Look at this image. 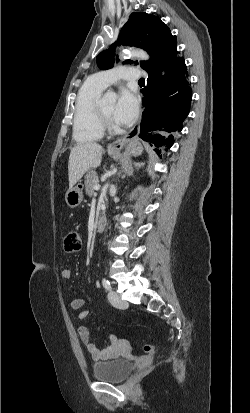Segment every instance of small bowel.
<instances>
[{
    "instance_id": "obj_1",
    "label": "small bowel",
    "mask_w": 250,
    "mask_h": 413,
    "mask_svg": "<svg viewBox=\"0 0 250 413\" xmlns=\"http://www.w3.org/2000/svg\"><path fill=\"white\" fill-rule=\"evenodd\" d=\"M62 277L66 280L71 279L73 277V270L70 268L64 269L62 271ZM84 305L85 300L82 298H75L70 302V307L74 310H80L84 307ZM87 316L88 312L83 310L78 313L77 317L79 320H83ZM77 332L81 342L84 344L94 360L106 361L115 359L119 356L122 349V342L117 336L110 335L109 345L104 349H100L91 341V334L86 326H80Z\"/></svg>"
}]
</instances>
